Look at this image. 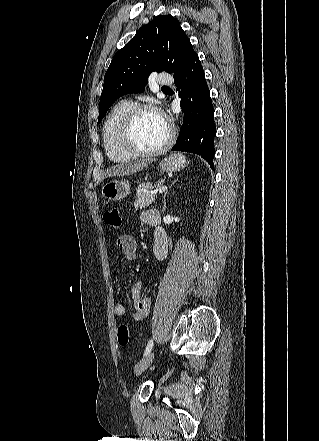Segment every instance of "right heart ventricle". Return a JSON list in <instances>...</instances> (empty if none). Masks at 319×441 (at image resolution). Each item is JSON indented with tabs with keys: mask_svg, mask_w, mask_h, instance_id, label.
Masks as SVG:
<instances>
[{
	"mask_svg": "<svg viewBox=\"0 0 319 441\" xmlns=\"http://www.w3.org/2000/svg\"><path fill=\"white\" fill-rule=\"evenodd\" d=\"M133 104L123 100L113 106L109 112L102 130L103 143L106 154L111 161L127 162L133 158L120 145L119 133L121 124Z\"/></svg>",
	"mask_w": 319,
	"mask_h": 441,
	"instance_id": "e07e8e85",
	"label": "right heart ventricle"
}]
</instances>
